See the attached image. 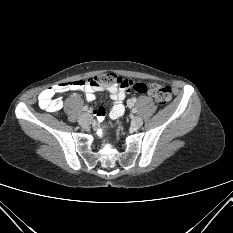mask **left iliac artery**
I'll use <instances>...</instances> for the list:
<instances>
[{
    "label": "left iliac artery",
    "mask_w": 233,
    "mask_h": 233,
    "mask_svg": "<svg viewBox=\"0 0 233 233\" xmlns=\"http://www.w3.org/2000/svg\"><path fill=\"white\" fill-rule=\"evenodd\" d=\"M134 101H136V99H135ZM132 112H133V113H136V112H137V109H136V108H133V109H132Z\"/></svg>",
    "instance_id": "obj_1"
}]
</instances>
